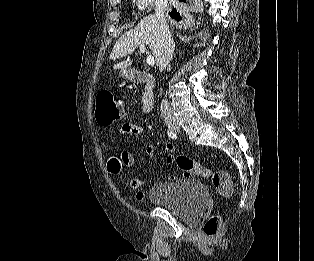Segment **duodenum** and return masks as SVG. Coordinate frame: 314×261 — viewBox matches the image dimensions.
Listing matches in <instances>:
<instances>
[{"label":"duodenum","instance_id":"410a0bca","mask_svg":"<svg viewBox=\"0 0 314 261\" xmlns=\"http://www.w3.org/2000/svg\"><path fill=\"white\" fill-rule=\"evenodd\" d=\"M131 80L135 84L145 86L142 96V112L145 114L150 113L154 106V76L147 72L134 71L131 73Z\"/></svg>","mask_w":314,"mask_h":261}]
</instances>
